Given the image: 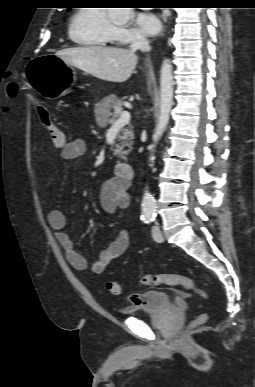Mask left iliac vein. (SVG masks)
<instances>
[{
  "label": "left iliac vein",
  "mask_w": 255,
  "mask_h": 387,
  "mask_svg": "<svg viewBox=\"0 0 255 387\" xmlns=\"http://www.w3.org/2000/svg\"><path fill=\"white\" fill-rule=\"evenodd\" d=\"M152 236L156 242L161 243L164 240V237L162 235L160 228L156 225L152 227Z\"/></svg>",
  "instance_id": "4c4485c4"
}]
</instances>
